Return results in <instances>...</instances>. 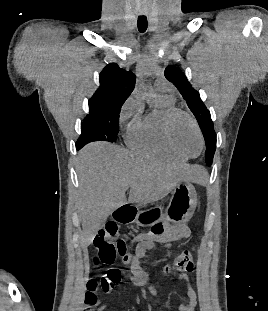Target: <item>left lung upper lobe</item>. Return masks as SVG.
<instances>
[{
    "instance_id": "left-lung-upper-lobe-1",
    "label": "left lung upper lobe",
    "mask_w": 268,
    "mask_h": 311,
    "mask_svg": "<svg viewBox=\"0 0 268 311\" xmlns=\"http://www.w3.org/2000/svg\"><path fill=\"white\" fill-rule=\"evenodd\" d=\"M165 77L172 82L186 100L188 107L197 119L206 142L205 161L211 165L216 150V134L209 110L200 99L199 92L192 88L183 72L175 67L165 69Z\"/></svg>"
}]
</instances>
